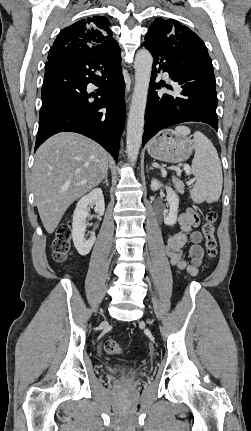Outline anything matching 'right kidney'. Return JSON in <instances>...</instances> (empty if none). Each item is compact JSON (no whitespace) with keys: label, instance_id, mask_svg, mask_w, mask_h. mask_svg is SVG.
<instances>
[{"label":"right kidney","instance_id":"obj_1","mask_svg":"<svg viewBox=\"0 0 251 431\" xmlns=\"http://www.w3.org/2000/svg\"><path fill=\"white\" fill-rule=\"evenodd\" d=\"M95 204V212L102 216L105 211L103 192L100 188L93 189L89 194L83 196L77 203L73 214L72 238L74 246L80 255H87L96 240L95 236L85 239L86 218L88 216V205Z\"/></svg>","mask_w":251,"mask_h":431}]
</instances>
